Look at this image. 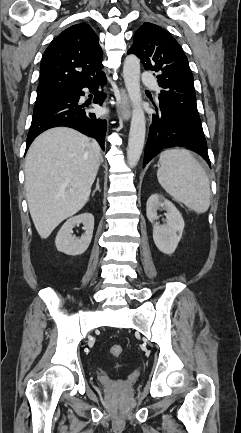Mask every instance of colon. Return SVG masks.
Segmentation results:
<instances>
[{
  "instance_id": "1",
  "label": "colon",
  "mask_w": 241,
  "mask_h": 433,
  "mask_svg": "<svg viewBox=\"0 0 241 433\" xmlns=\"http://www.w3.org/2000/svg\"><path fill=\"white\" fill-rule=\"evenodd\" d=\"M110 354L114 358H119L123 354V347L120 345H113L110 347Z\"/></svg>"
}]
</instances>
